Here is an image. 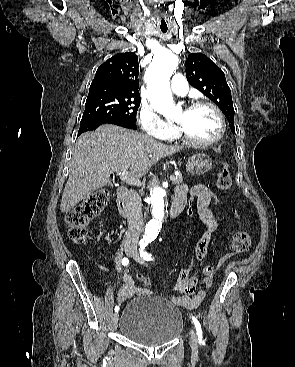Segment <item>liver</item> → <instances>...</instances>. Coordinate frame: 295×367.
Instances as JSON below:
<instances>
[{
	"mask_svg": "<svg viewBox=\"0 0 295 367\" xmlns=\"http://www.w3.org/2000/svg\"><path fill=\"white\" fill-rule=\"evenodd\" d=\"M180 150V146H167L114 125H102L95 132L82 134L73 150L61 212L71 211L92 192L107 185L111 173L129 170V175L140 178L159 159Z\"/></svg>",
	"mask_w": 295,
	"mask_h": 367,
	"instance_id": "obj_1",
	"label": "liver"
}]
</instances>
